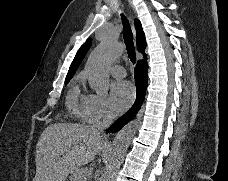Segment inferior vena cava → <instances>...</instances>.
I'll use <instances>...</instances> for the list:
<instances>
[{"mask_svg": "<svg viewBox=\"0 0 228 181\" xmlns=\"http://www.w3.org/2000/svg\"><path fill=\"white\" fill-rule=\"evenodd\" d=\"M114 119H115L114 115L106 111L105 115H103V121H101V123H95V125H93L92 129L94 133H98V135H101V133H104L105 129H108V127L112 125Z\"/></svg>", "mask_w": 228, "mask_h": 181, "instance_id": "602c4592", "label": "inferior vena cava"}]
</instances>
